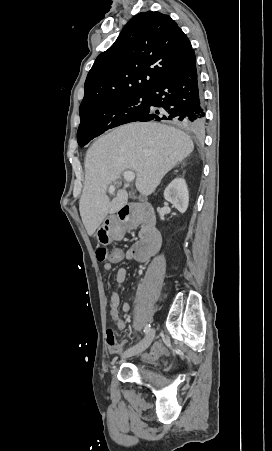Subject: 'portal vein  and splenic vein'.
Wrapping results in <instances>:
<instances>
[{
    "label": "portal vein and splenic vein",
    "instance_id": "obj_1",
    "mask_svg": "<svg viewBox=\"0 0 272 451\" xmlns=\"http://www.w3.org/2000/svg\"><path fill=\"white\" fill-rule=\"evenodd\" d=\"M123 178L124 180H126V182H132V180H134L135 178V174L134 172L127 170V172H124ZM108 192H110V194H113V192H115V186H110V188H108Z\"/></svg>",
    "mask_w": 272,
    "mask_h": 451
}]
</instances>
